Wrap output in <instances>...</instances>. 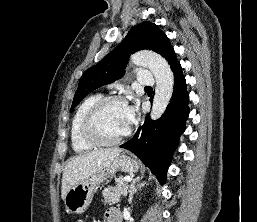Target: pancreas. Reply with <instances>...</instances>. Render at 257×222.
<instances>
[{"label": "pancreas", "instance_id": "pancreas-1", "mask_svg": "<svg viewBox=\"0 0 257 222\" xmlns=\"http://www.w3.org/2000/svg\"><path fill=\"white\" fill-rule=\"evenodd\" d=\"M128 184L120 178L115 187H107L103 190V202L105 204H115L120 201V197L127 194Z\"/></svg>", "mask_w": 257, "mask_h": 222}]
</instances>
